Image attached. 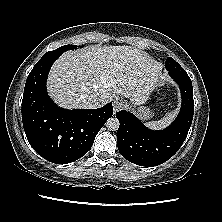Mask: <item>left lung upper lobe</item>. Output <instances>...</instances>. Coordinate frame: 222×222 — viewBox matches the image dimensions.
Returning a JSON list of instances; mask_svg holds the SVG:
<instances>
[{
    "mask_svg": "<svg viewBox=\"0 0 222 222\" xmlns=\"http://www.w3.org/2000/svg\"><path fill=\"white\" fill-rule=\"evenodd\" d=\"M165 67L170 70H182L183 68L171 57H168L165 63Z\"/></svg>",
    "mask_w": 222,
    "mask_h": 222,
    "instance_id": "obj_1",
    "label": "left lung upper lobe"
}]
</instances>
